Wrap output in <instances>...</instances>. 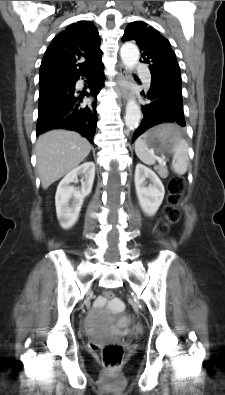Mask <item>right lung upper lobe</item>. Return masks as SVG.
Wrapping results in <instances>:
<instances>
[{
  "label": "right lung upper lobe",
  "instance_id": "obj_1",
  "mask_svg": "<svg viewBox=\"0 0 225 395\" xmlns=\"http://www.w3.org/2000/svg\"><path fill=\"white\" fill-rule=\"evenodd\" d=\"M100 37L93 23L78 21L57 34L40 66V89L88 73L100 61Z\"/></svg>",
  "mask_w": 225,
  "mask_h": 395
}]
</instances>
